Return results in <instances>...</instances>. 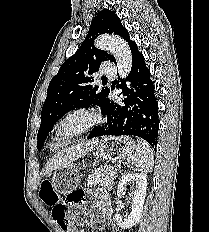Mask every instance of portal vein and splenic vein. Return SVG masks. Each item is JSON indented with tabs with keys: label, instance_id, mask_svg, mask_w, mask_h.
<instances>
[{
	"label": "portal vein and splenic vein",
	"instance_id": "18ae733b",
	"mask_svg": "<svg viewBox=\"0 0 209 232\" xmlns=\"http://www.w3.org/2000/svg\"><path fill=\"white\" fill-rule=\"evenodd\" d=\"M115 170H117V169H115ZM110 174H113V171H112V172H110Z\"/></svg>",
	"mask_w": 209,
	"mask_h": 232
}]
</instances>
